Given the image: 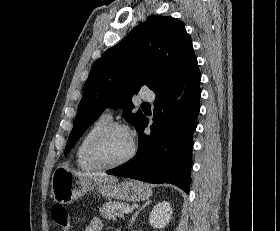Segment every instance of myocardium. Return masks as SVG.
I'll return each mask as SVG.
<instances>
[{
    "mask_svg": "<svg viewBox=\"0 0 280 231\" xmlns=\"http://www.w3.org/2000/svg\"><path fill=\"white\" fill-rule=\"evenodd\" d=\"M122 130L128 134V129L125 125L118 123V122H109L105 126H103L101 129H99L90 139L87 148H86V157L89 160V162L98 167L99 169H110V168H115L122 166L126 163H128L134 156L135 154V144L131 139L130 140V145L129 149L126 152V154L120 158L117 161L106 163V162H101L99 161L96 156H95V148L98 144V142L110 131L112 130Z\"/></svg>",
    "mask_w": 280,
    "mask_h": 231,
    "instance_id": "f54148a6",
    "label": "myocardium"
}]
</instances>
